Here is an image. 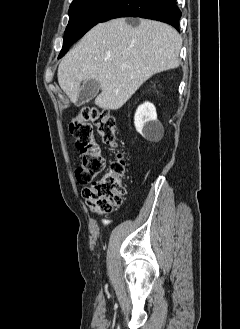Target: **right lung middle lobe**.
I'll use <instances>...</instances> for the list:
<instances>
[{"label":"right lung middle lobe","mask_w":240,"mask_h":329,"mask_svg":"<svg viewBox=\"0 0 240 329\" xmlns=\"http://www.w3.org/2000/svg\"><path fill=\"white\" fill-rule=\"evenodd\" d=\"M121 0H75L69 9V23L65 30L63 47L58 58L88 32Z\"/></svg>","instance_id":"1"}]
</instances>
